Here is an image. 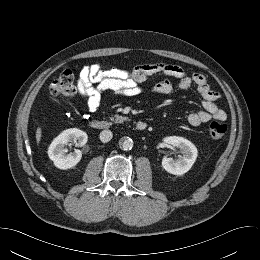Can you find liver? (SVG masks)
Masks as SVG:
<instances>
[{
    "label": "liver",
    "mask_w": 260,
    "mask_h": 260,
    "mask_svg": "<svg viewBox=\"0 0 260 260\" xmlns=\"http://www.w3.org/2000/svg\"><path fill=\"white\" fill-rule=\"evenodd\" d=\"M41 137H42V130H41V128H37V130H36V141H37V143L40 142Z\"/></svg>",
    "instance_id": "obj_1"
}]
</instances>
